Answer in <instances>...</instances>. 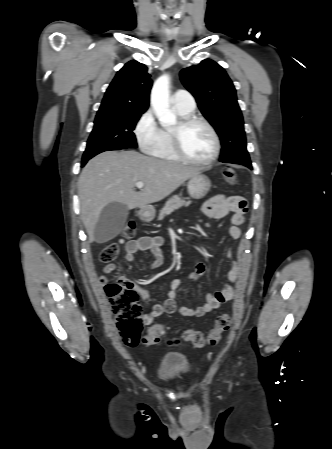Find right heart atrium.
<instances>
[{
	"label": "right heart atrium",
	"instance_id": "1",
	"mask_svg": "<svg viewBox=\"0 0 332 449\" xmlns=\"http://www.w3.org/2000/svg\"><path fill=\"white\" fill-rule=\"evenodd\" d=\"M135 136L140 149L151 153L159 143L161 129L151 109L145 111L135 125Z\"/></svg>",
	"mask_w": 332,
	"mask_h": 449
}]
</instances>
